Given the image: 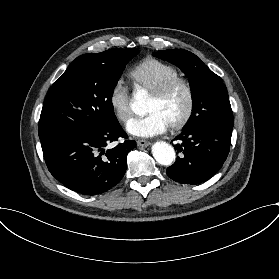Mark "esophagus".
Instances as JSON below:
<instances>
[{"label":"esophagus","mask_w":279,"mask_h":279,"mask_svg":"<svg viewBox=\"0 0 279 279\" xmlns=\"http://www.w3.org/2000/svg\"><path fill=\"white\" fill-rule=\"evenodd\" d=\"M137 145L141 147H147L150 145V142L144 139H138L137 140Z\"/></svg>","instance_id":"34e87169"}]
</instances>
